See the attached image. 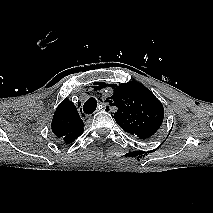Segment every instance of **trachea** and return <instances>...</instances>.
Returning <instances> with one entry per match:
<instances>
[{
	"instance_id": "trachea-1",
	"label": "trachea",
	"mask_w": 213,
	"mask_h": 213,
	"mask_svg": "<svg viewBox=\"0 0 213 213\" xmlns=\"http://www.w3.org/2000/svg\"><path fill=\"white\" fill-rule=\"evenodd\" d=\"M96 107L97 101L95 98L91 97L85 102L83 110L86 114H92L96 110Z\"/></svg>"
}]
</instances>
